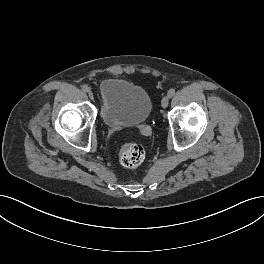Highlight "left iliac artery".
I'll list each match as a JSON object with an SVG mask.
<instances>
[{"instance_id": "44dca946", "label": "left iliac artery", "mask_w": 264, "mask_h": 264, "mask_svg": "<svg viewBox=\"0 0 264 264\" xmlns=\"http://www.w3.org/2000/svg\"><path fill=\"white\" fill-rule=\"evenodd\" d=\"M168 97H173L174 95H175V89H170L169 91H168Z\"/></svg>"}]
</instances>
